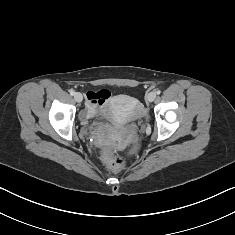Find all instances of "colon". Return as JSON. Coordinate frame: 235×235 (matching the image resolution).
<instances>
[{
  "label": "colon",
  "mask_w": 235,
  "mask_h": 235,
  "mask_svg": "<svg viewBox=\"0 0 235 235\" xmlns=\"http://www.w3.org/2000/svg\"><path fill=\"white\" fill-rule=\"evenodd\" d=\"M126 101L132 102L129 100ZM104 161L107 168L112 171H118L126 165V160L123 156L115 155L109 152L105 154Z\"/></svg>",
  "instance_id": "1"
}]
</instances>
